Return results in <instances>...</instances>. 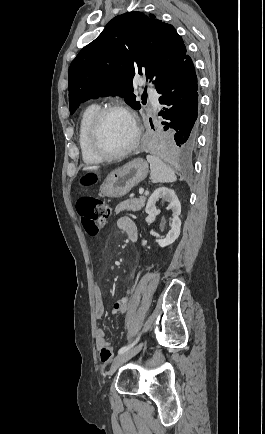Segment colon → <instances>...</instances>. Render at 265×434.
I'll return each instance as SVG.
<instances>
[{
	"label": "colon",
	"instance_id": "1",
	"mask_svg": "<svg viewBox=\"0 0 265 434\" xmlns=\"http://www.w3.org/2000/svg\"><path fill=\"white\" fill-rule=\"evenodd\" d=\"M88 169L90 174L85 176L83 171ZM82 177H97V168H82ZM75 210L81 220L83 229L88 237L95 238L100 233L102 227L109 217V204L101 198L81 197L74 204ZM97 354L100 362L110 363L116 351L108 345H102Z\"/></svg>",
	"mask_w": 265,
	"mask_h": 434
}]
</instances>
